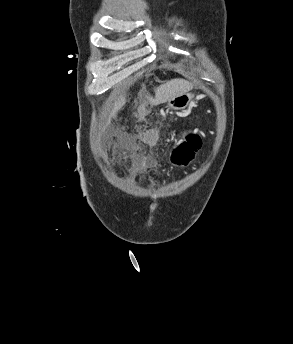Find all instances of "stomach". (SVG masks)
I'll use <instances>...</instances> for the list:
<instances>
[{
    "label": "stomach",
    "mask_w": 293,
    "mask_h": 344,
    "mask_svg": "<svg viewBox=\"0 0 293 344\" xmlns=\"http://www.w3.org/2000/svg\"><path fill=\"white\" fill-rule=\"evenodd\" d=\"M194 95L191 93H184L170 99L167 103V107L172 110H184L186 109L189 104L191 103Z\"/></svg>",
    "instance_id": "0dacf381"
}]
</instances>
